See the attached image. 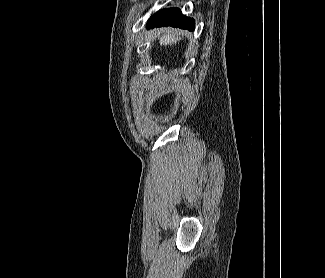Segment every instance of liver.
<instances>
[{
    "instance_id": "obj_1",
    "label": "liver",
    "mask_w": 325,
    "mask_h": 278,
    "mask_svg": "<svg viewBox=\"0 0 325 278\" xmlns=\"http://www.w3.org/2000/svg\"><path fill=\"white\" fill-rule=\"evenodd\" d=\"M178 35H180V33L178 32H172L170 34H166L163 37L160 38V45H167V44H176L177 41L180 40V38L178 39Z\"/></svg>"
}]
</instances>
